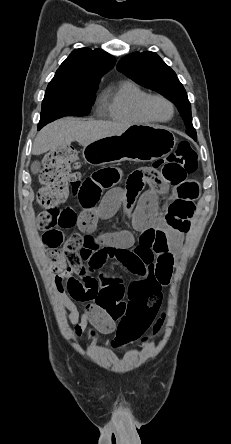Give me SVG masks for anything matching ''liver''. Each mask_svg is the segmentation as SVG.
<instances>
[{
	"label": "liver",
	"instance_id": "1",
	"mask_svg": "<svg viewBox=\"0 0 231 444\" xmlns=\"http://www.w3.org/2000/svg\"><path fill=\"white\" fill-rule=\"evenodd\" d=\"M129 127V124L124 123L63 118L48 124L38 133L32 152L39 155L49 150L66 148L74 141L85 147L101 138L121 134Z\"/></svg>",
	"mask_w": 231,
	"mask_h": 444
}]
</instances>
